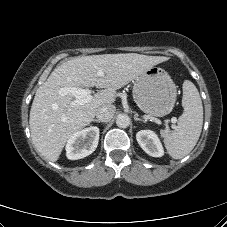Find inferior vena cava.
I'll list each match as a JSON object with an SVG mask.
<instances>
[{
  "instance_id": "602c4592",
  "label": "inferior vena cava",
  "mask_w": 227,
  "mask_h": 227,
  "mask_svg": "<svg viewBox=\"0 0 227 227\" xmlns=\"http://www.w3.org/2000/svg\"><path fill=\"white\" fill-rule=\"evenodd\" d=\"M115 111L116 108L113 104L102 105L98 108L96 117L102 122H108L113 118Z\"/></svg>"
}]
</instances>
